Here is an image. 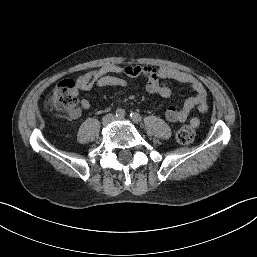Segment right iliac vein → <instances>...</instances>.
Instances as JSON below:
<instances>
[{
  "label": "right iliac vein",
  "instance_id": "obj_1",
  "mask_svg": "<svg viewBox=\"0 0 257 257\" xmlns=\"http://www.w3.org/2000/svg\"><path fill=\"white\" fill-rule=\"evenodd\" d=\"M111 120H112V118H111L110 116H108V117H106V118L104 119V123H105V124H108Z\"/></svg>",
  "mask_w": 257,
  "mask_h": 257
}]
</instances>
